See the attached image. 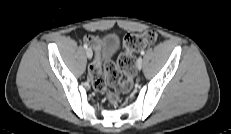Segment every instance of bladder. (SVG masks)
<instances>
[{
	"mask_svg": "<svg viewBox=\"0 0 231 134\" xmlns=\"http://www.w3.org/2000/svg\"><path fill=\"white\" fill-rule=\"evenodd\" d=\"M120 45V39L116 34H107L100 44V57L104 61L110 60L116 53Z\"/></svg>",
	"mask_w": 231,
	"mask_h": 134,
	"instance_id": "obj_1",
	"label": "bladder"
}]
</instances>
